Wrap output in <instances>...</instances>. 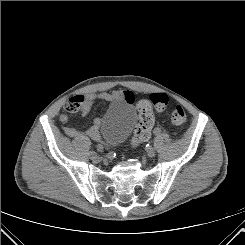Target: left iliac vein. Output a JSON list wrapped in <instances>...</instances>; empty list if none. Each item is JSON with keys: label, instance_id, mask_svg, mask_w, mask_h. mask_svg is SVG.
Returning a JSON list of instances; mask_svg holds the SVG:
<instances>
[{"label": "left iliac vein", "instance_id": "4c4485c4", "mask_svg": "<svg viewBox=\"0 0 245 245\" xmlns=\"http://www.w3.org/2000/svg\"><path fill=\"white\" fill-rule=\"evenodd\" d=\"M147 156L150 158L154 157L155 156V150L153 148H149L147 150Z\"/></svg>", "mask_w": 245, "mask_h": 245}]
</instances>
